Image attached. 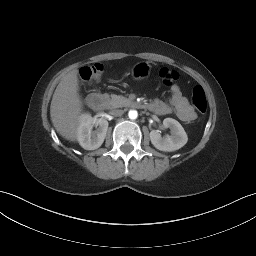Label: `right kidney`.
<instances>
[{
    "instance_id": "ca27d5eb",
    "label": "right kidney",
    "mask_w": 256,
    "mask_h": 256,
    "mask_svg": "<svg viewBox=\"0 0 256 256\" xmlns=\"http://www.w3.org/2000/svg\"><path fill=\"white\" fill-rule=\"evenodd\" d=\"M96 130H93V127ZM108 121L103 118H93L89 113L80 116L77 140L86 150L98 149L106 137Z\"/></svg>"
}]
</instances>
